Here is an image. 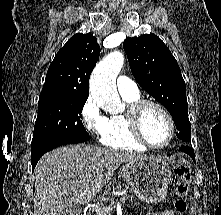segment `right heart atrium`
I'll return each mask as SVG.
<instances>
[{"instance_id":"right-heart-atrium-1","label":"right heart atrium","mask_w":221,"mask_h":215,"mask_svg":"<svg viewBox=\"0 0 221 215\" xmlns=\"http://www.w3.org/2000/svg\"><path fill=\"white\" fill-rule=\"evenodd\" d=\"M81 121L84 128L97 137H101L106 129L107 118L92 96L86 99L81 108Z\"/></svg>"}]
</instances>
